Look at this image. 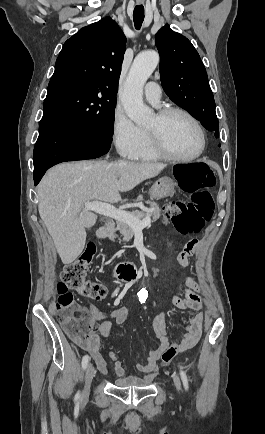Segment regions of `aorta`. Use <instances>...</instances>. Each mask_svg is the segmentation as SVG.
Listing matches in <instances>:
<instances>
[{"label":"aorta","instance_id":"1","mask_svg":"<svg viewBox=\"0 0 265 434\" xmlns=\"http://www.w3.org/2000/svg\"><path fill=\"white\" fill-rule=\"evenodd\" d=\"M157 64H159L157 52L154 50L141 52L136 56L125 80L121 102L128 118L137 126H143L152 116L151 108L145 106L143 102V88Z\"/></svg>","mask_w":265,"mask_h":434}]
</instances>
